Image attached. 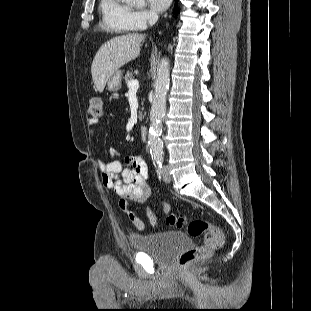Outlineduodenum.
<instances>
[{
    "label": "duodenum",
    "mask_w": 311,
    "mask_h": 311,
    "mask_svg": "<svg viewBox=\"0 0 311 311\" xmlns=\"http://www.w3.org/2000/svg\"><path fill=\"white\" fill-rule=\"evenodd\" d=\"M140 138L142 141H146L148 138V128L147 126H141L140 128Z\"/></svg>",
    "instance_id": "duodenum-1"
}]
</instances>
